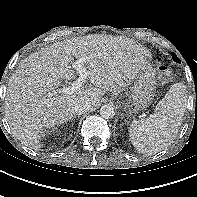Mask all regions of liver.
Returning a JSON list of instances; mask_svg holds the SVG:
<instances>
[{"label": "liver", "mask_w": 197, "mask_h": 197, "mask_svg": "<svg viewBox=\"0 0 197 197\" xmlns=\"http://www.w3.org/2000/svg\"><path fill=\"white\" fill-rule=\"evenodd\" d=\"M74 57L89 58L84 65L93 85L71 95L58 94L60 80L74 78ZM151 58L144 46L122 36L91 34L53 43L25 58L13 73L5 98L6 120L23 145L39 150L43 129L72 119L78 100L96 107L105 91L120 93L130 85L140 65Z\"/></svg>", "instance_id": "liver-1"}]
</instances>
